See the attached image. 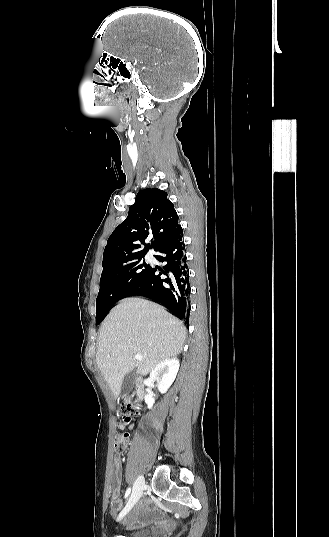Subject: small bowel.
<instances>
[{
	"label": "small bowel",
	"instance_id": "1",
	"mask_svg": "<svg viewBox=\"0 0 329 537\" xmlns=\"http://www.w3.org/2000/svg\"><path fill=\"white\" fill-rule=\"evenodd\" d=\"M113 467H114V475H113V481H114V487L111 493L109 505H110V511L112 514H116L118 510L120 509L122 502L120 500V484H121V459L119 457H115L113 461ZM152 506V503H139L135 509L132 511V513L125 519L124 524L127 528H137L140 526H143L152 519L156 518V514H151L149 511V507Z\"/></svg>",
	"mask_w": 329,
	"mask_h": 537
}]
</instances>
